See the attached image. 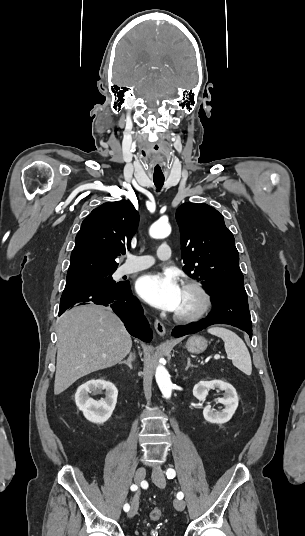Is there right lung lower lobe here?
Returning <instances> with one entry per match:
<instances>
[{"instance_id":"1","label":"right lung lower lobe","mask_w":305,"mask_h":536,"mask_svg":"<svg viewBox=\"0 0 305 536\" xmlns=\"http://www.w3.org/2000/svg\"><path fill=\"white\" fill-rule=\"evenodd\" d=\"M105 289L93 286L65 287L60 300L59 316L74 305L95 303L110 306L125 323L128 332L145 342L152 339V330L128 282Z\"/></svg>"}]
</instances>
